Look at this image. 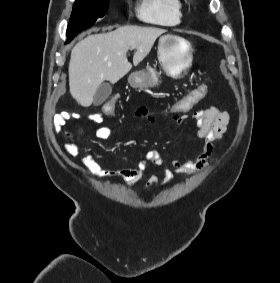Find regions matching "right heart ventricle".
I'll return each mask as SVG.
<instances>
[{
	"mask_svg": "<svg viewBox=\"0 0 280 283\" xmlns=\"http://www.w3.org/2000/svg\"><path fill=\"white\" fill-rule=\"evenodd\" d=\"M183 9L181 0H139L136 13L143 21L173 26L182 21Z\"/></svg>",
	"mask_w": 280,
	"mask_h": 283,
	"instance_id": "right-heart-ventricle-1",
	"label": "right heart ventricle"
}]
</instances>
